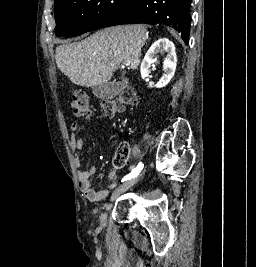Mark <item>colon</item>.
<instances>
[{
  "label": "colon",
  "instance_id": "1",
  "mask_svg": "<svg viewBox=\"0 0 256 267\" xmlns=\"http://www.w3.org/2000/svg\"><path fill=\"white\" fill-rule=\"evenodd\" d=\"M137 95L135 91L127 87L123 89L117 97L108 98L101 101V112L105 116L122 113L124 109L135 103ZM71 108L78 118H87L91 113V104L89 98L82 92L77 91L72 94ZM129 156V148L122 145L118 148L114 162L117 166H122Z\"/></svg>",
  "mask_w": 256,
  "mask_h": 267
}]
</instances>
